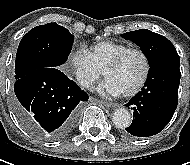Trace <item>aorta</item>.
I'll list each match as a JSON object with an SVG mask.
<instances>
[{
	"label": "aorta",
	"mask_w": 190,
	"mask_h": 165,
	"mask_svg": "<svg viewBox=\"0 0 190 165\" xmlns=\"http://www.w3.org/2000/svg\"><path fill=\"white\" fill-rule=\"evenodd\" d=\"M112 121L117 128H127L131 124V114L127 109L119 108L112 116Z\"/></svg>",
	"instance_id": "obj_1"
}]
</instances>
